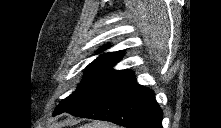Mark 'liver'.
I'll return each mask as SVG.
<instances>
[{
	"mask_svg": "<svg viewBox=\"0 0 221 128\" xmlns=\"http://www.w3.org/2000/svg\"><path fill=\"white\" fill-rule=\"evenodd\" d=\"M81 128H118V127L116 125L103 121H93L92 123L85 124Z\"/></svg>",
	"mask_w": 221,
	"mask_h": 128,
	"instance_id": "obj_1",
	"label": "liver"
}]
</instances>
